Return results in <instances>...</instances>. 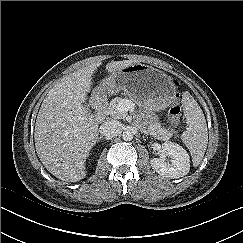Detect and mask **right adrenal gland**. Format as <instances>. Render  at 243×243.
I'll return each mask as SVG.
<instances>
[{"instance_id": "1", "label": "right adrenal gland", "mask_w": 243, "mask_h": 243, "mask_svg": "<svg viewBox=\"0 0 243 243\" xmlns=\"http://www.w3.org/2000/svg\"><path fill=\"white\" fill-rule=\"evenodd\" d=\"M101 139H102V138H101V137H99V138H98V141H100Z\"/></svg>"}]
</instances>
